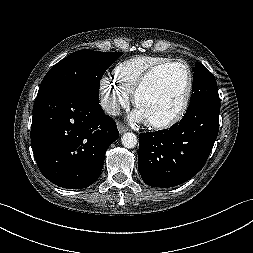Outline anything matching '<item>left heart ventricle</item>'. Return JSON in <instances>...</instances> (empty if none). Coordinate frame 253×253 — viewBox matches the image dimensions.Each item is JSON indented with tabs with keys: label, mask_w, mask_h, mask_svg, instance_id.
I'll use <instances>...</instances> for the list:
<instances>
[{
	"label": "left heart ventricle",
	"mask_w": 253,
	"mask_h": 253,
	"mask_svg": "<svg viewBox=\"0 0 253 253\" xmlns=\"http://www.w3.org/2000/svg\"><path fill=\"white\" fill-rule=\"evenodd\" d=\"M187 87V75L179 66L158 72L140 93L136 107L146 121H163L180 109Z\"/></svg>",
	"instance_id": "left-heart-ventricle-1"
}]
</instances>
